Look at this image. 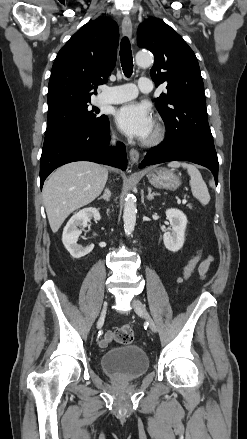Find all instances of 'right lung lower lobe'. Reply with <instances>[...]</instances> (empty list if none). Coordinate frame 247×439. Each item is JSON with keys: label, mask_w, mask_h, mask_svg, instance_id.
I'll list each match as a JSON object with an SVG mask.
<instances>
[{"label": "right lung lower lobe", "mask_w": 247, "mask_h": 439, "mask_svg": "<svg viewBox=\"0 0 247 439\" xmlns=\"http://www.w3.org/2000/svg\"><path fill=\"white\" fill-rule=\"evenodd\" d=\"M109 139L108 118L96 128L72 130L46 138L40 161V187L54 169L69 162L92 161L125 170V145L119 143L110 150Z\"/></svg>", "instance_id": "98d812e1"}]
</instances>
